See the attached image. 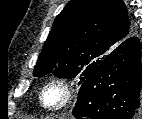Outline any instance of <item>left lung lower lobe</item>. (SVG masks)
<instances>
[{
  "label": "left lung lower lobe",
  "instance_id": "1",
  "mask_svg": "<svg viewBox=\"0 0 142 119\" xmlns=\"http://www.w3.org/2000/svg\"><path fill=\"white\" fill-rule=\"evenodd\" d=\"M141 43L130 36L81 84L72 111L77 119H141Z\"/></svg>",
  "mask_w": 142,
  "mask_h": 119
}]
</instances>
